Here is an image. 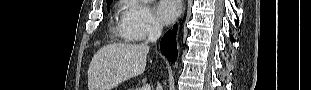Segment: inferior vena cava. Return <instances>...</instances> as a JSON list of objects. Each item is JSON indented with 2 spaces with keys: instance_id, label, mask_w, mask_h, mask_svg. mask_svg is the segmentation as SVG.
Instances as JSON below:
<instances>
[{
  "instance_id": "602c4592",
  "label": "inferior vena cava",
  "mask_w": 311,
  "mask_h": 90,
  "mask_svg": "<svg viewBox=\"0 0 311 90\" xmlns=\"http://www.w3.org/2000/svg\"><path fill=\"white\" fill-rule=\"evenodd\" d=\"M161 33H162V27L159 24L154 23L149 30V35L146 41V45L148 46L149 42L155 43L158 40V38L161 36ZM157 90H162V86L159 82L157 83Z\"/></svg>"
}]
</instances>
